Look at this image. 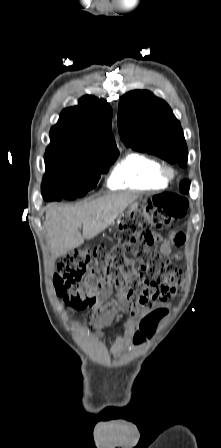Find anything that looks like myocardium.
<instances>
[{
  "mask_svg": "<svg viewBox=\"0 0 221 448\" xmlns=\"http://www.w3.org/2000/svg\"><path fill=\"white\" fill-rule=\"evenodd\" d=\"M176 176L175 168L170 164H165L160 168V177L161 179L168 183L173 180Z\"/></svg>",
  "mask_w": 221,
  "mask_h": 448,
  "instance_id": "obj_1",
  "label": "myocardium"
}]
</instances>
